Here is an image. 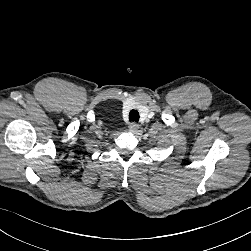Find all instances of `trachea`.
<instances>
[{
  "label": "trachea",
  "instance_id": "1",
  "mask_svg": "<svg viewBox=\"0 0 251 251\" xmlns=\"http://www.w3.org/2000/svg\"><path fill=\"white\" fill-rule=\"evenodd\" d=\"M129 120L130 121H135L138 122L139 121V113L136 110H131L129 113Z\"/></svg>",
  "mask_w": 251,
  "mask_h": 251
}]
</instances>
